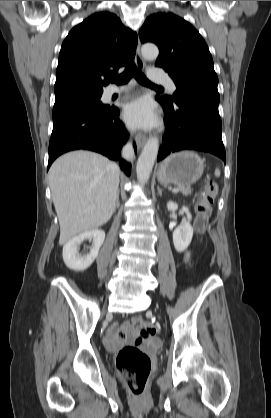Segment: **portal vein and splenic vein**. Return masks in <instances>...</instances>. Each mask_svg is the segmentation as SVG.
Instances as JSON below:
<instances>
[{
	"label": "portal vein and splenic vein",
	"mask_w": 271,
	"mask_h": 418,
	"mask_svg": "<svg viewBox=\"0 0 271 418\" xmlns=\"http://www.w3.org/2000/svg\"><path fill=\"white\" fill-rule=\"evenodd\" d=\"M172 191H173L174 193H176V192H178L179 190H178V188H174Z\"/></svg>",
	"instance_id": "18ae733b"
}]
</instances>
